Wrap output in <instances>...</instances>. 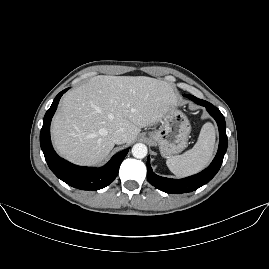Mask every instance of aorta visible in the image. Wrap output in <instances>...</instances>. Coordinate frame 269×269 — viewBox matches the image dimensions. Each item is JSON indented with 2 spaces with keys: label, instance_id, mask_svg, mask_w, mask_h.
I'll return each instance as SVG.
<instances>
[{
  "label": "aorta",
  "instance_id": "aorta-1",
  "mask_svg": "<svg viewBox=\"0 0 269 269\" xmlns=\"http://www.w3.org/2000/svg\"><path fill=\"white\" fill-rule=\"evenodd\" d=\"M132 155L137 159L144 158L147 155V147L142 143L135 144L132 147Z\"/></svg>",
  "mask_w": 269,
  "mask_h": 269
}]
</instances>
